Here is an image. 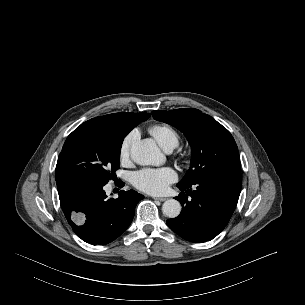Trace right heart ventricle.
<instances>
[{
    "label": "right heart ventricle",
    "instance_id": "right-heart-ventricle-1",
    "mask_svg": "<svg viewBox=\"0 0 305 305\" xmlns=\"http://www.w3.org/2000/svg\"><path fill=\"white\" fill-rule=\"evenodd\" d=\"M149 131L164 150H173L179 144V134L168 125L156 124L151 126Z\"/></svg>",
    "mask_w": 305,
    "mask_h": 305
}]
</instances>
